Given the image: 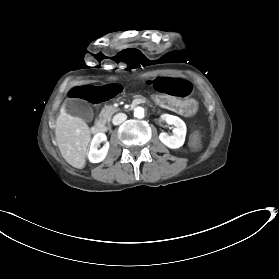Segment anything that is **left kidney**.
Wrapping results in <instances>:
<instances>
[{"label":"left kidney","mask_w":279,"mask_h":279,"mask_svg":"<svg viewBox=\"0 0 279 279\" xmlns=\"http://www.w3.org/2000/svg\"><path fill=\"white\" fill-rule=\"evenodd\" d=\"M162 118L169 124L173 125L174 135L171 136L166 132L159 135L160 141L170 149H178L183 146L186 136V125L179 117L164 114Z\"/></svg>","instance_id":"1"}]
</instances>
